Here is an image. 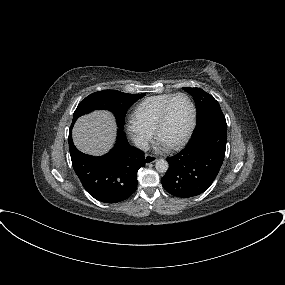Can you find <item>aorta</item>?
<instances>
[{"mask_svg": "<svg viewBox=\"0 0 285 285\" xmlns=\"http://www.w3.org/2000/svg\"><path fill=\"white\" fill-rule=\"evenodd\" d=\"M155 168H156V170L158 172L165 173L168 170V168H169V164H168V162L166 160L159 159L155 163Z\"/></svg>", "mask_w": 285, "mask_h": 285, "instance_id": "aorta-1", "label": "aorta"}]
</instances>
